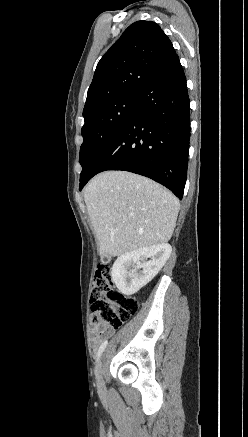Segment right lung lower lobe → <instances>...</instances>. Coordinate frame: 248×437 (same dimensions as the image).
I'll use <instances>...</instances> for the list:
<instances>
[{
    "label": "right lung lower lobe",
    "instance_id": "1",
    "mask_svg": "<svg viewBox=\"0 0 248 437\" xmlns=\"http://www.w3.org/2000/svg\"><path fill=\"white\" fill-rule=\"evenodd\" d=\"M189 139L190 101L177 56L138 93L130 115L95 157L79 188L99 172L125 170L159 182L181 199Z\"/></svg>",
    "mask_w": 248,
    "mask_h": 437
}]
</instances>
